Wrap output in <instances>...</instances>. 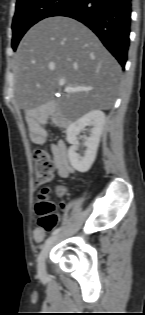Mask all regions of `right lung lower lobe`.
Listing matches in <instances>:
<instances>
[{"instance_id": "obj_1", "label": "right lung lower lobe", "mask_w": 145, "mask_h": 315, "mask_svg": "<svg viewBox=\"0 0 145 315\" xmlns=\"http://www.w3.org/2000/svg\"><path fill=\"white\" fill-rule=\"evenodd\" d=\"M52 16L74 18L100 38L122 67L127 61L131 0H70Z\"/></svg>"}]
</instances>
